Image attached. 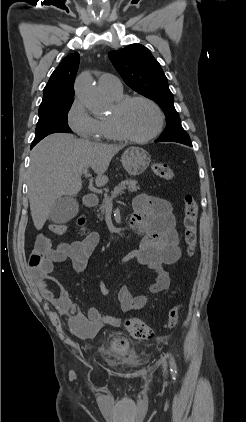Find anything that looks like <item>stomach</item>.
I'll list each match as a JSON object with an SVG mask.
<instances>
[{"label": "stomach", "instance_id": "0dacf381", "mask_svg": "<svg viewBox=\"0 0 246 422\" xmlns=\"http://www.w3.org/2000/svg\"><path fill=\"white\" fill-rule=\"evenodd\" d=\"M121 162L130 175L137 176L149 166L150 155L143 148L131 146L122 154Z\"/></svg>", "mask_w": 246, "mask_h": 422}]
</instances>
